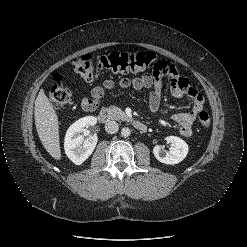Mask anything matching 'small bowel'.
I'll list each match as a JSON object with an SVG mask.
<instances>
[{
    "label": "small bowel",
    "instance_id": "1",
    "mask_svg": "<svg viewBox=\"0 0 247 247\" xmlns=\"http://www.w3.org/2000/svg\"><path fill=\"white\" fill-rule=\"evenodd\" d=\"M170 76V89L174 97L180 98L188 96L192 99L193 105L189 111L176 112L172 114V119L180 125V134L183 137H190L193 134V123L198 116L199 112L203 110L204 98L194 88L189 80L180 76L173 65L170 64L169 70L164 73ZM161 75V74H160ZM160 75H151L145 73L142 76L134 79H122L119 85L122 88H133L137 91L148 90L146 93V100L149 108L152 111H157L160 107L162 82ZM106 90L115 88V83L112 80H106L103 84ZM96 87L91 92V97H86L82 100V108L86 111H94L104 95V89Z\"/></svg>",
    "mask_w": 247,
    "mask_h": 247
}]
</instances>
